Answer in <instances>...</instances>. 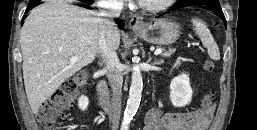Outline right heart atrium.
<instances>
[{
    "label": "right heart atrium",
    "mask_w": 257,
    "mask_h": 130,
    "mask_svg": "<svg viewBox=\"0 0 257 130\" xmlns=\"http://www.w3.org/2000/svg\"><path fill=\"white\" fill-rule=\"evenodd\" d=\"M125 0H106V3L112 7H118L123 5Z\"/></svg>",
    "instance_id": "1"
}]
</instances>
